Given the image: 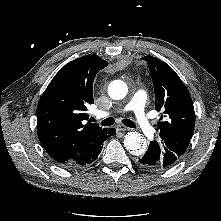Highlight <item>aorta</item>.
Listing matches in <instances>:
<instances>
[{"label": "aorta", "mask_w": 221, "mask_h": 221, "mask_svg": "<svg viewBox=\"0 0 221 221\" xmlns=\"http://www.w3.org/2000/svg\"><path fill=\"white\" fill-rule=\"evenodd\" d=\"M128 92L124 81L114 80L108 86V95L114 100L123 99ZM124 147L133 155H141L146 151L147 144L144 137L138 132H128L124 137Z\"/></svg>", "instance_id": "1"}]
</instances>
